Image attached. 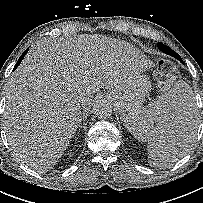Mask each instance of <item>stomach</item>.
<instances>
[{
  "mask_svg": "<svg viewBox=\"0 0 203 203\" xmlns=\"http://www.w3.org/2000/svg\"><path fill=\"white\" fill-rule=\"evenodd\" d=\"M150 89V81L144 75L135 76L129 83L115 90L111 95L116 108L122 114L125 126H130L131 114L142 108L145 95Z\"/></svg>",
  "mask_w": 203,
  "mask_h": 203,
  "instance_id": "1",
  "label": "stomach"
}]
</instances>
